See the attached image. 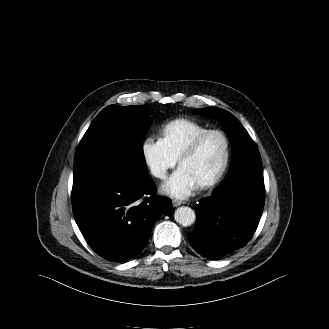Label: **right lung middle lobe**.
<instances>
[{
	"instance_id": "1",
	"label": "right lung middle lobe",
	"mask_w": 329,
	"mask_h": 329,
	"mask_svg": "<svg viewBox=\"0 0 329 329\" xmlns=\"http://www.w3.org/2000/svg\"><path fill=\"white\" fill-rule=\"evenodd\" d=\"M151 123L144 106L104 108L77 147L73 184L100 174L132 183L146 178L142 141Z\"/></svg>"
}]
</instances>
